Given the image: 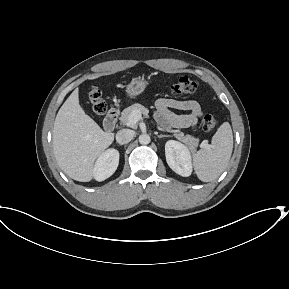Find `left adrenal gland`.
<instances>
[{
  "mask_svg": "<svg viewBox=\"0 0 289 289\" xmlns=\"http://www.w3.org/2000/svg\"><path fill=\"white\" fill-rule=\"evenodd\" d=\"M157 137H158V138L170 137V135H163V134L158 135V134H157Z\"/></svg>",
  "mask_w": 289,
  "mask_h": 289,
  "instance_id": "1",
  "label": "left adrenal gland"
}]
</instances>
